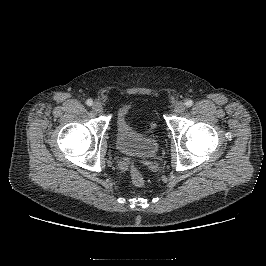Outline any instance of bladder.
<instances>
[{"instance_id": "bladder-1", "label": "bladder", "mask_w": 266, "mask_h": 266, "mask_svg": "<svg viewBox=\"0 0 266 266\" xmlns=\"http://www.w3.org/2000/svg\"><path fill=\"white\" fill-rule=\"evenodd\" d=\"M128 108H121L116 121V147L119 152L143 159L153 158L159 150L154 135L140 133L128 120Z\"/></svg>"}]
</instances>
